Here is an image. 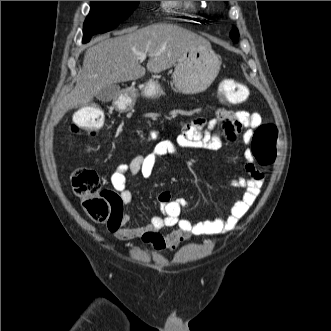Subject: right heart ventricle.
I'll return each mask as SVG.
<instances>
[{
	"mask_svg": "<svg viewBox=\"0 0 331 331\" xmlns=\"http://www.w3.org/2000/svg\"><path fill=\"white\" fill-rule=\"evenodd\" d=\"M163 7L166 9L184 8L190 11H196L195 1H162Z\"/></svg>",
	"mask_w": 331,
	"mask_h": 331,
	"instance_id": "obj_1",
	"label": "right heart ventricle"
}]
</instances>
